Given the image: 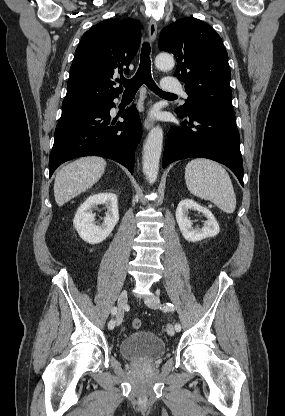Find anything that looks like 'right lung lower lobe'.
<instances>
[{
	"mask_svg": "<svg viewBox=\"0 0 285 416\" xmlns=\"http://www.w3.org/2000/svg\"><path fill=\"white\" fill-rule=\"evenodd\" d=\"M112 107L110 102L104 107L62 113L49 158L50 177L62 163L94 155L115 160L133 174L134 153L142 133L137 110L135 106L127 108L124 122L112 127Z\"/></svg>",
	"mask_w": 285,
	"mask_h": 416,
	"instance_id": "1",
	"label": "right lung lower lobe"
}]
</instances>
